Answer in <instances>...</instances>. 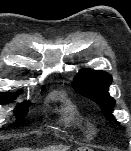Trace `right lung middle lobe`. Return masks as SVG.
Masks as SVG:
<instances>
[{"label": "right lung middle lobe", "instance_id": "right-lung-middle-lobe-1", "mask_svg": "<svg viewBox=\"0 0 131 151\" xmlns=\"http://www.w3.org/2000/svg\"><path fill=\"white\" fill-rule=\"evenodd\" d=\"M15 98V95L12 93H1L0 94V104L3 103H9L12 102ZM30 105L29 102H24L22 104H19L16 107L15 115H16V124L20 125L22 123V120L24 119V116L28 112V106Z\"/></svg>", "mask_w": 131, "mask_h": 151}]
</instances>
